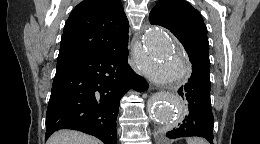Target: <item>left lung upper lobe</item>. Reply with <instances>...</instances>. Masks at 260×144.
Masks as SVG:
<instances>
[{
    "mask_svg": "<svg viewBox=\"0 0 260 144\" xmlns=\"http://www.w3.org/2000/svg\"><path fill=\"white\" fill-rule=\"evenodd\" d=\"M149 21L169 29L182 43L189 58L209 61L207 28L202 16L183 0H159L149 14Z\"/></svg>",
    "mask_w": 260,
    "mask_h": 144,
    "instance_id": "5c2ea615",
    "label": "left lung upper lobe"
}]
</instances>
